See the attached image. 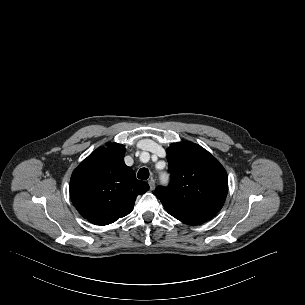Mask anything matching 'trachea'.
I'll return each instance as SVG.
<instances>
[{"label":"trachea","instance_id":"1","mask_svg":"<svg viewBox=\"0 0 305 305\" xmlns=\"http://www.w3.org/2000/svg\"><path fill=\"white\" fill-rule=\"evenodd\" d=\"M137 177L141 180H147L149 178V170L147 168H141L137 173Z\"/></svg>","mask_w":305,"mask_h":305}]
</instances>
